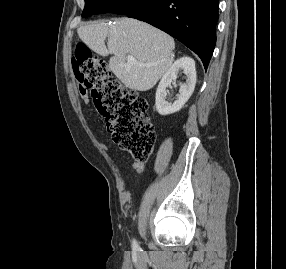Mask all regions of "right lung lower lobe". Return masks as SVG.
Returning a JSON list of instances; mask_svg holds the SVG:
<instances>
[{
	"mask_svg": "<svg viewBox=\"0 0 286 269\" xmlns=\"http://www.w3.org/2000/svg\"><path fill=\"white\" fill-rule=\"evenodd\" d=\"M218 0H152L128 14L175 37L194 51L207 69L216 44Z\"/></svg>",
	"mask_w": 286,
	"mask_h": 269,
	"instance_id": "right-lung-lower-lobe-1",
	"label": "right lung lower lobe"
}]
</instances>
